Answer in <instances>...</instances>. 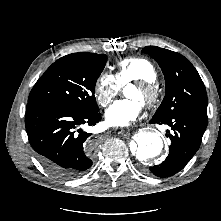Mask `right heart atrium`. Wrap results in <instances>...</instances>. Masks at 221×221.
Returning <instances> with one entry per match:
<instances>
[{"label":"right heart atrium","instance_id":"1","mask_svg":"<svg viewBox=\"0 0 221 221\" xmlns=\"http://www.w3.org/2000/svg\"><path fill=\"white\" fill-rule=\"evenodd\" d=\"M120 90V83L113 74L103 72L98 77L94 86V95L97 103L104 107Z\"/></svg>","mask_w":221,"mask_h":221}]
</instances>
